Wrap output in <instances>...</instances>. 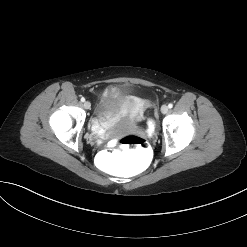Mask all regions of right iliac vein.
Masks as SVG:
<instances>
[{"instance_id": "63e3f726", "label": "right iliac vein", "mask_w": 247, "mask_h": 247, "mask_svg": "<svg viewBox=\"0 0 247 247\" xmlns=\"http://www.w3.org/2000/svg\"><path fill=\"white\" fill-rule=\"evenodd\" d=\"M90 107H91V103L89 101H85L84 102V108L85 109H90Z\"/></svg>"}]
</instances>
